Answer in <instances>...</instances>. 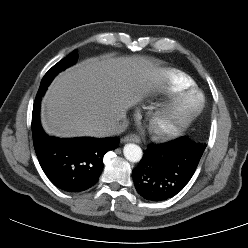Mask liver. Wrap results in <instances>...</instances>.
I'll use <instances>...</instances> for the list:
<instances>
[{"mask_svg":"<svg viewBox=\"0 0 248 248\" xmlns=\"http://www.w3.org/2000/svg\"><path fill=\"white\" fill-rule=\"evenodd\" d=\"M162 79L144 57L86 59L54 79L43 99L42 125L59 137H105Z\"/></svg>","mask_w":248,"mask_h":248,"instance_id":"liver-1","label":"liver"}]
</instances>
